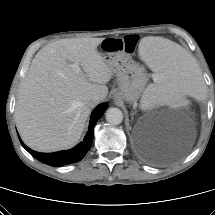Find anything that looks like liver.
<instances>
[{
  "mask_svg": "<svg viewBox=\"0 0 215 215\" xmlns=\"http://www.w3.org/2000/svg\"><path fill=\"white\" fill-rule=\"evenodd\" d=\"M104 38L60 39L32 60L21 81L14 113L24 143L39 152L73 147L90 115L94 95L104 100L112 70L97 51ZM77 63L81 72L71 64Z\"/></svg>",
  "mask_w": 215,
  "mask_h": 215,
  "instance_id": "liver-1",
  "label": "liver"
}]
</instances>
